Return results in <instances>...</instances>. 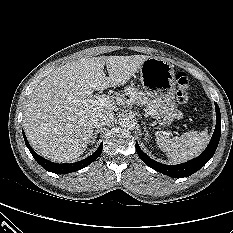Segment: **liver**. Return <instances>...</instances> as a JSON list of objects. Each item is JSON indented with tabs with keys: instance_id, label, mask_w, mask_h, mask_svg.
I'll use <instances>...</instances> for the list:
<instances>
[{
	"instance_id": "6515ba94",
	"label": "liver",
	"mask_w": 233,
	"mask_h": 233,
	"mask_svg": "<svg viewBox=\"0 0 233 233\" xmlns=\"http://www.w3.org/2000/svg\"><path fill=\"white\" fill-rule=\"evenodd\" d=\"M145 55L100 56L69 62L52 71L28 97L23 126L32 147L56 162L83 154L93 135V117L112 104H84L94 90L117 87L139 71ZM106 65L109 76L103 69Z\"/></svg>"
}]
</instances>
